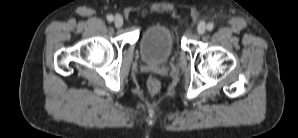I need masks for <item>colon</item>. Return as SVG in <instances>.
<instances>
[{
	"mask_svg": "<svg viewBox=\"0 0 298 138\" xmlns=\"http://www.w3.org/2000/svg\"><path fill=\"white\" fill-rule=\"evenodd\" d=\"M147 87L149 89V91L154 94L156 92H158L159 88H160V83L156 78H150L147 82Z\"/></svg>",
	"mask_w": 298,
	"mask_h": 138,
	"instance_id": "1",
	"label": "colon"
}]
</instances>
